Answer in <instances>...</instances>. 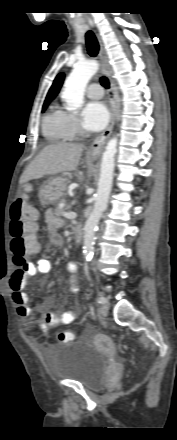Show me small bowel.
<instances>
[{"label":"small bowel","instance_id":"1","mask_svg":"<svg viewBox=\"0 0 177 440\" xmlns=\"http://www.w3.org/2000/svg\"><path fill=\"white\" fill-rule=\"evenodd\" d=\"M45 221L47 224V233L50 243L53 246H62L64 243L63 236L59 233V229L63 226V220L56 216L55 213L49 209L45 213ZM70 274L69 281L72 292H77V277L75 275L77 265L70 262L67 265ZM51 270V262L47 259L38 258L30 261L23 267L16 268L11 274L8 287L12 292V298L17 306V313L22 319H27L31 315V308L27 305V295L24 291L28 278L37 274H46ZM44 321L41 325V337L49 339V327H56L59 325L72 323L77 315V311H65L57 313L51 310L49 303L43 305Z\"/></svg>","mask_w":177,"mask_h":440}]
</instances>
